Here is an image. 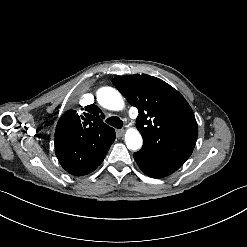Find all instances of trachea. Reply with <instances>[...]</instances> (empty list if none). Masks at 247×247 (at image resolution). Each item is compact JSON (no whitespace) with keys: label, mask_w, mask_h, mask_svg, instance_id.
I'll use <instances>...</instances> for the list:
<instances>
[{"label":"trachea","mask_w":247,"mask_h":247,"mask_svg":"<svg viewBox=\"0 0 247 247\" xmlns=\"http://www.w3.org/2000/svg\"><path fill=\"white\" fill-rule=\"evenodd\" d=\"M109 125L115 127V128H122L123 126V122L121 121V119H119L116 116L110 117L109 119H107L106 121Z\"/></svg>","instance_id":"obj_1"}]
</instances>
